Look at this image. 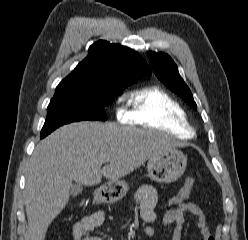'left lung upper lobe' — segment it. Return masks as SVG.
I'll return each mask as SVG.
<instances>
[{"label": "left lung upper lobe", "mask_w": 248, "mask_h": 240, "mask_svg": "<svg viewBox=\"0 0 248 240\" xmlns=\"http://www.w3.org/2000/svg\"><path fill=\"white\" fill-rule=\"evenodd\" d=\"M151 67L161 82L170 90L179 95L193 109H197L192 93L179 75L178 68L174 61L165 53L148 52Z\"/></svg>", "instance_id": "obj_1"}]
</instances>
